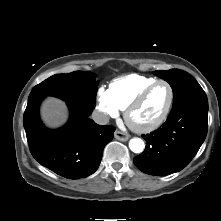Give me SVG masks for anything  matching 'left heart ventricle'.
Masks as SVG:
<instances>
[{"mask_svg": "<svg viewBox=\"0 0 221 221\" xmlns=\"http://www.w3.org/2000/svg\"><path fill=\"white\" fill-rule=\"evenodd\" d=\"M169 88L165 84L156 86L132 115L136 124H150L163 114L169 101Z\"/></svg>", "mask_w": 221, "mask_h": 221, "instance_id": "1", "label": "left heart ventricle"}]
</instances>
